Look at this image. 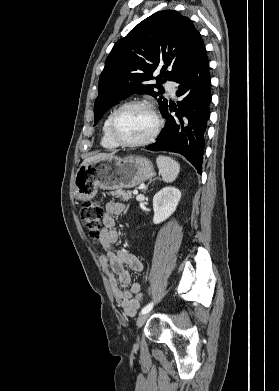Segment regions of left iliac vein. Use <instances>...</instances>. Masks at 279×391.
Masks as SVG:
<instances>
[{"mask_svg":"<svg viewBox=\"0 0 279 391\" xmlns=\"http://www.w3.org/2000/svg\"><path fill=\"white\" fill-rule=\"evenodd\" d=\"M149 316H150V312L141 314L137 318V321H136L137 327L138 328L142 327L144 325V323L146 322V320L148 319ZM138 341H139V338L137 337V343H138Z\"/></svg>","mask_w":279,"mask_h":391,"instance_id":"4c4485c4","label":"left iliac vein"}]
</instances>
